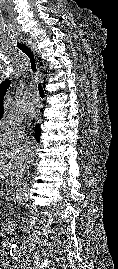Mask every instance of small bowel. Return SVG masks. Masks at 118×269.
Masks as SVG:
<instances>
[{"label": "small bowel", "mask_w": 118, "mask_h": 269, "mask_svg": "<svg viewBox=\"0 0 118 269\" xmlns=\"http://www.w3.org/2000/svg\"><path fill=\"white\" fill-rule=\"evenodd\" d=\"M7 264L5 261L2 260L1 265H0V269L6 268Z\"/></svg>", "instance_id": "small-bowel-1"}]
</instances>
